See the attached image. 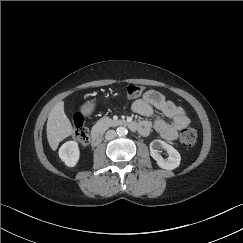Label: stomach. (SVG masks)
Instances as JSON below:
<instances>
[{
    "mask_svg": "<svg viewBox=\"0 0 243 243\" xmlns=\"http://www.w3.org/2000/svg\"><path fill=\"white\" fill-rule=\"evenodd\" d=\"M94 102H87L84 106H83V109L89 111V110H92L94 108Z\"/></svg>",
    "mask_w": 243,
    "mask_h": 243,
    "instance_id": "obj_1",
    "label": "stomach"
}]
</instances>
